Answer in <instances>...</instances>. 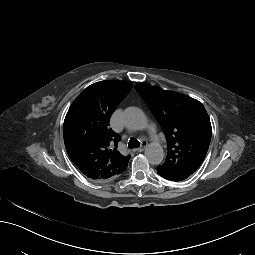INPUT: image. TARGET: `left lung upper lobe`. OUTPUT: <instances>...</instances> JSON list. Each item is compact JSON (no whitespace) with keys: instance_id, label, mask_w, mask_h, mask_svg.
<instances>
[{"instance_id":"left-lung-upper-lobe-1","label":"left lung upper lobe","mask_w":255,"mask_h":255,"mask_svg":"<svg viewBox=\"0 0 255 255\" xmlns=\"http://www.w3.org/2000/svg\"><path fill=\"white\" fill-rule=\"evenodd\" d=\"M135 89L166 135L168 153L158 173L175 182L188 178L202 164L211 140L204 106L187 95L154 86L139 84Z\"/></svg>"}]
</instances>
